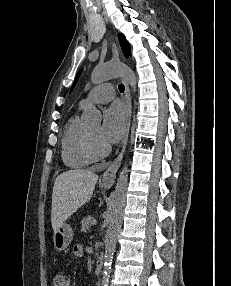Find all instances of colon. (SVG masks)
I'll return each instance as SVG.
<instances>
[{
	"label": "colon",
	"instance_id": "1",
	"mask_svg": "<svg viewBox=\"0 0 231 286\" xmlns=\"http://www.w3.org/2000/svg\"><path fill=\"white\" fill-rule=\"evenodd\" d=\"M53 286H71L69 277L64 273H57L53 278Z\"/></svg>",
	"mask_w": 231,
	"mask_h": 286
}]
</instances>
